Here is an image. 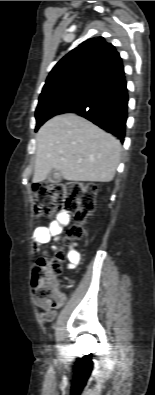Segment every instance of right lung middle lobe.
Segmentation results:
<instances>
[{
  "mask_svg": "<svg viewBox=\"0 0 155 395\" xmlns=\"http://www.w3.org/2000/svg\"><path fill=\"white\" fill-rule=\"evenodd\" d=\"M101 85L86 81H71L43 88L36 108V130L55 115L68 112L85 101Z\"/></svg>",
  "mask_w": 155,
  "mask_h": 395,
  "instance_id": "dd1d6c3e",
  "label": "right lung middle lobe"
}]
</instances>
